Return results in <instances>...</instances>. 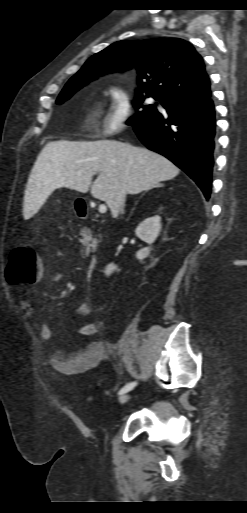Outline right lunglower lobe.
<instances>
[{
    "instance_id": "obj_1",
    "label": "right lung lower lobe",
    "mask_w": 247,
    "mask_h": 513,
    "mask_svg": "<svg viewBox=\"0 0 247 513\" xmlns=\"http://www.w3.org/2000/svg\"><path fill=\"white\" fill-rule=\"evenodd\" d=\"M162 105L167 116L157 112L135 125L134 131L148 149L164 155L186 172L209 199L216 126L211 95Z\"/></svg>"
}]
</instances>
